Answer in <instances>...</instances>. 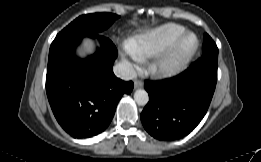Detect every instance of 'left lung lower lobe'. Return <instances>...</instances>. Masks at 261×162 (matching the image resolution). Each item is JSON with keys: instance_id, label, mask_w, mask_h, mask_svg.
<instances>
[{"instance_id": "left-lung-lower-lobe-1", "label": "left lung lower lobe", "mask_w": 261, "mask_h": 162, "mask_svg": "<svg viewBox=\"0 0 261 162\" xmlns=\"http://www.w3.org/2000/svg\"><path fill=\"white\" fill-rule=\"evenodd\" d=\"M218 54L204 53L181 74L145 81L149 102L141 113L145 130L155 139H180L205 116L217 82Z\"/></svg>"}]
</instances>
